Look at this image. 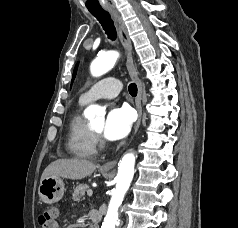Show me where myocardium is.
<instances>
[{
	"label": "myocardium",
	"instance_id": "myocardium-1",
	"mask_svg": "<svg viewBox=\"0 0 238 228\" xmlns=\"http://www.w3.org/2000/svg\"><path fill=\"white\" fill-rule=\"evenodd\" d=\"M91 128V127H90ZM91 131L94 135V138H95V141H96V144L99 146V147H104L105 143H104V140L102 138V135L100 132L94 130L93 128H91Z\"/></svg>",
	"mask_w": 238,
	"mask_h": 228
}]
</instances>
